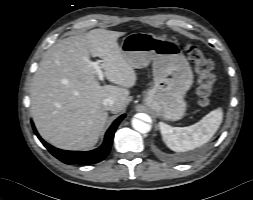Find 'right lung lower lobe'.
Here are the masks:
<instances>
[{
	"instance_id": "obj_1",
	"label": "right lung lower lobe",
	"mask_w": 253,
	"mask_h": 200,
	"mask_svg": "<svg viewBox=\"0 0 253 200\" xmlns=\"http://www.w3.org/2000/svg\"><path fill=\"white\" fill-rule=\"evenodd\" d=\"M125 117V114L121 115L117 118L108 131L105 134L103 144L91 151H65L54 148L53 146L46 143L37 133L36 129L34 131L43 145L50 151L52 155H54L60 161L66 164H93L102 161L110 151L114 133L116 128L118 127L121 120Z\"/></svg>"
}]
</instances>
